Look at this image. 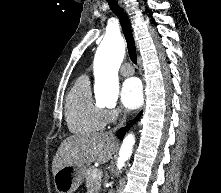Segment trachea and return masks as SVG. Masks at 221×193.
<instances>
[{"label":"trachea","instance_id":"trachea-1","mask_svg":"<svg viewBox=\"0 0 221 193\" xmlns=\"http://www.w3.org/2000/svg\"><path fill=\"white\" fill-rule=\"evenodd\" d=\"M107 2L111 10L113 11V13L120 20L121 27H122V30H123V33L127 42V48H128L130 59L134 64H137V52H136L135 40L133 37L129 18L116 0H107Z\"/></svg>","mask_w":221,"mask_h":193}]
</instances>
